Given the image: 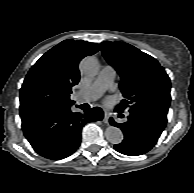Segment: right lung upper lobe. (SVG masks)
<instances>
[{"instance_id": "right-lung-upper-lobe-1", "label": "right lung upper lobe", "mask_w": 194, "mask_h": 193, "mask_svg": "<svg viewBox=\"0 0 194 193\" xmlns=\"http://www.w3.org/2000/svg\"><path fill=\"white\" fill-rule=\"evenodd\" d=\"M99 50L97 43L65 40L46 52L29 70L20 90V116L73 103L71 88L79 82L78 64Z\"/></svg>"}]
</instances>
